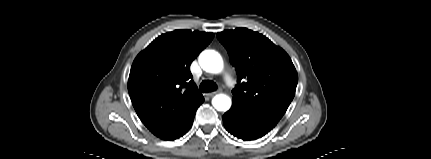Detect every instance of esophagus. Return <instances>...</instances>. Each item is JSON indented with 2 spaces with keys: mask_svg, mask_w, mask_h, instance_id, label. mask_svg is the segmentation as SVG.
Here are the masks:
<instances>
[{
  "mask_svg": "<svg viewBox=\"0 0 431 159\" xmlns=\"http://www.w3.org/2000/svg\"><path fill=\"white\" fill-rule=\"evenodd\" d=\"M215 94H217V91L209 92V93L206 94V96L213 97Z\"/></svg>",
  "mask_w": 431,
  "mask_h": 159,
  "instance_id": "34e87169",
  "label": "esophagus"
}]
</instances>
